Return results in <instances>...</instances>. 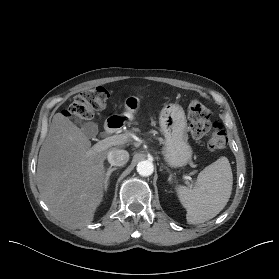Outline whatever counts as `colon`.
<instances>
[{
    "label": "colon",
    "instance_id": "colon-1",
    "mask_svg": "<svg viewBox=\"0 0 279 279\" xmlns=\"http://www.w3.org/2000/svg\"><path fill=\"white\" fill-rule=\"evenodd\" d=\"M110 94L102 86L94 87L76 95L65 115L75 121L91 119L95 112L106 108ZM190 130L195 138L205 139L206 147L211 150L223 149L227 145L226 133L218 122H211L207 107L199 100H191L188 105Z\"/></svg>",
    "mask_w": 279,
    "mask_h": 279
}]
</instances>
